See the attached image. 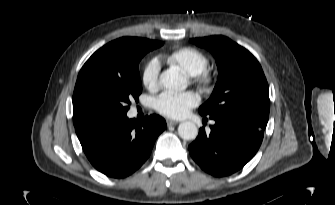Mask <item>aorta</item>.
Segmentation results:
<instances>
[{
	"label": "aorta",
	"mask_w": 335,
	"mask_h": 205,
	"mask_svg": "<svg viewBox=\"0 0 335 205\" xmlns=\"http://www.w3.org/2000/svg\"><path fill=\"white\" fill-rule=\"evenodd\" d=\"M159 83L165 88L173 90H183L187 86L185 78L172 68L160 75ZM178 134L184 140H194L198 135V128L193 122H182L178 126Z\"/></svg>",
	"instance_id": "obj_1"
}]
</instances>
